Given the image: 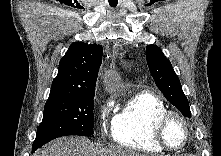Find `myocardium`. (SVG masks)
I'll use <instances>...</instances> for the list:
<instances>
[{
	"instance_id": "obj_1",
	"label": "myocardium",
	"mask_w": 221,
	"mask_h": 156,
	"mask_svg": "<svg viewBox=\"0 0 221 156\" xmlns=\"http://www.w3.org/2000/svg\"><path fill=\"white\" fill-rule=\"evenodd\" d=\"M178 118L184 125L185 128V139L184 142L181 146L179 147H171L165 139V128L167 123L169 122V120L171 118ZM190 135H191V129H190V124L188 122V120L179 112L177 111H173V110H167L165 111L163 114H161L158 119L156 120L155 124H154V130H153V136L155 141L165 150L171 151V152H178L183 150L190 139Z\"/></svg>"
}]
</instances>
